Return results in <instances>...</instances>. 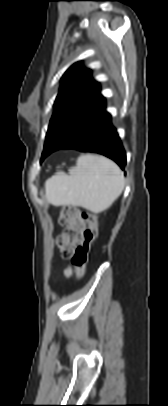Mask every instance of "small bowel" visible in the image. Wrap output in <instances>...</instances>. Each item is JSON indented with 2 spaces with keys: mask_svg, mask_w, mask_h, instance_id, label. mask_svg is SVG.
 Listing matches in <instances>:
<instances>
[{
  "mask_svg": "<svg viewBox=\"0 0 168 406\" xmlns=\"http://www.w3.org/2000/svg\"><path fill=\"white\" fill-rule=\"evenodd\" d=\"M71 274H72L71 268H66L64 270V276L69 277V276H71Z\"/></svg>",
  "mask_w": 168,
  "mask_h": 406,
  "instance_id": "1",
  "label": "small bowel"
}]
</instances>
